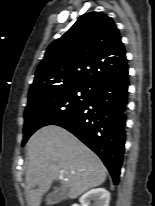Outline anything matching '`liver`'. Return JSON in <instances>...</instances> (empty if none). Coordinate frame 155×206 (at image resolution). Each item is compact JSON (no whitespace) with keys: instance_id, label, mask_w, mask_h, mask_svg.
Instances as JSON below:
<instances>
[{"instance_id":"liver-1","label":"liver","mask_w":155,"mask_h":206,"mask_svg":"<svg viewBox=\"0 0 155 206\" xmlns=\"http://www.w3.org/2000/svg\"><path fill=\"white\" fill-rule=\"evenodd\" d=\"M26 183L29 206H40L43 194L53 180H62L67 196L75 199L106 179V168L99 157L67 130L45 126L27 143Z\"/></svg>"}]
</instances>
